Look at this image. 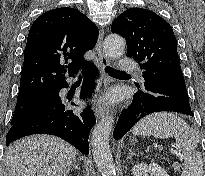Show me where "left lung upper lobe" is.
I'll return each instance as SVG.
<instances>
[{"label": "left lung upper lobe", "mask_w": 205, "mask_h": 176, "mask_svg": "<svg viewBox=\"0 0 205 176\" xmlns=\"http://www.w3.org/2000/svg\"><path fill=\"white\" fill-rule=\"evenodd\" d=\"M111 31L126 39L127 55L139 63L143 78L161 71L181 70L173 30L156 13L130 8L114 20Z\"/></svg>", "instance_id": "1"}]
</instances>
